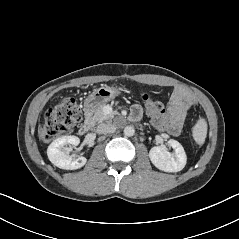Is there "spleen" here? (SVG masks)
<instances>
[{"instance_id":"1","label":"spleen","mask_w":239,"mask_h":239,"mask_svg":"<svg viewBox=\"0 0 239 239\" xmlns=\"http://www.w3.org/2000/svg\"><path fill=\"white\" fill-rule=\"evenodd\" d=\"M193 138L199 144L202 145L205 142L207 136V122L204 118H199L193 127Z\"/></svg>"}]
</instances>
